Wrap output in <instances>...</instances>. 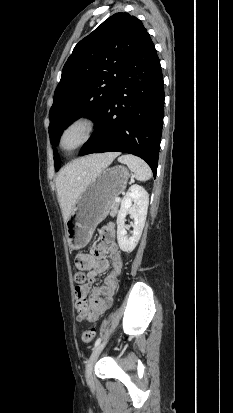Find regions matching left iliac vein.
Returning <instances> with one entry per match:
<instances>
[{
    "instance_id": "1",
    "label": "left iliac vein",
    "mask_w": 233,
    "mask_h": 413,
    "mask_svg": "<svg viewBox=\"0 0 233 413\" xmlns=\"http://www.w3.org/2000/svg\"><path fill=\"white\" fill-rule=\"evenodd\" d=\"M107 343V340H104L102 343H100L92 352L87 365H86V380L88 383L92 382V370H93V366L96 362V360L98 359L100 353L102 352V350L104 349L105 345Z\"/></svg>"
}]
</instances>
